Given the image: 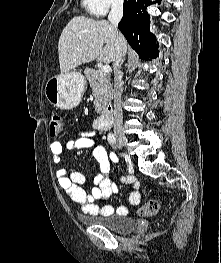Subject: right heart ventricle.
Segmentation results:
<instances>
[{"mask_svg": "<svg viewBox=\"0 0 221 263\" xmlns=\"http://www.w3.org/2000/svg\"><path fill=\"white\" fill-rule=\"evenodd\" d=\"M84 7L89 11L90 8V0H82Z\"/></svg>", "mask_w": 221, "mask_h": 263, "instance_id": "e07e8e85", "label": "right heart ventricle"}]
</instances>
